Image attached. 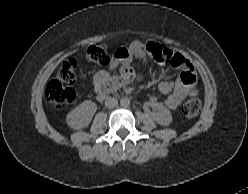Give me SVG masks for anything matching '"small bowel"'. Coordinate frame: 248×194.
<instances>
[{
    "mask_svg": "<svg viewBox=\"0 0 248 194\" xmlns=\"http://www.w3.org/2000/svg\"><path fill=\"white\" fill-rule=\"evenodd\" d=\"M156 43H143L136 41L129 47L118 48L111 60L107 69L99 70L93 79L92 89L96 94L109 93L115 91L133 81L142 79V74L137 73L131 67V62L134 58L139 59L142 64L145 63L144 52L149 51V47L157 48ZM171 64L174 67L180 68L181 73L174 81L165 80L159 84V90L166 95L165 106L168 109H176L183 99L192 93H197L196 89V74L190 61L182 55L174 54L171 59ZM118 72L117 75H114ZM148 107L158 112V101L151 99L148 102Z\"/></svg>",
    "mask_w": 248,
    "mask_h": 194,
    "instance_id": "obj_1",
    "label": "small bowel"
}]
</instances>
